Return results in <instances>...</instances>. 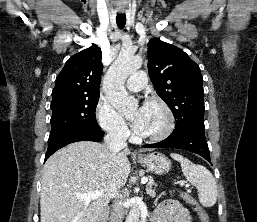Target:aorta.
Masks as SVG:
<instances>
[{
  "label": "aorta",
  "mask_w": 257,
  "mask_h": 222,
  "mask_svg": "<svg viewBox=\"0 0 257 222\" xmlns=\"http://www.w3.org/2000/svg\"><path fill=\"white\" fill-rule=\"evenodd\" d=\"M142 65L140 56L121 51L118 58L110 66L103 80V91L108 102L121 114L133 112L138 101L129 96L125 89L128 76ZM140 207L138 203L131 205L126 222H139Z\"/></svg>",
  "instance_id": "1"
}]
</instances>
